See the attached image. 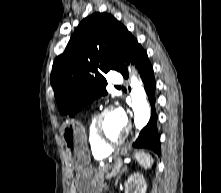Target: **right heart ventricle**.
Returning <instances> with one entry per match:
<instances>
[{"mask_svg": "<svg viewBox=\"0 0 221 193\" xmlns=\"http://www.w3.org/2000/svg\"><path fill=\"white\" fill-rule=\"evenodd\" d=\"M95 117H91L88 124V142L91 148V152L96 158H104L110 154V149L103 146L95 137L93 131Z\"/></svg>", "mask_w": 221, "mask_h": 193, "instance_id": "1", "label": "right heart ventricle"}]
</instances>
